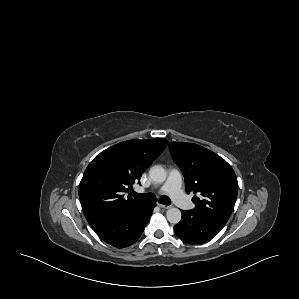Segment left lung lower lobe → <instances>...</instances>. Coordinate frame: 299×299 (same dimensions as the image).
Segmentation results:
<instances>
[{"mask_svg":"<svg viewBox=\"0 0 299 299\" xmlns=\"http://www.w3.org/2000/svg\"><path fill=\"white\" fill-rule=\"evenodd\" d=\"M221 228L210 220L198 216L192 210L182 211L181 221L174 226L176 235L190 244H201L211 240Z\"/></svg>","mask_w":299,"mask_h":299,"instance_id":"0a47b994","label":"left lung lower lobe"}]
</instances>
